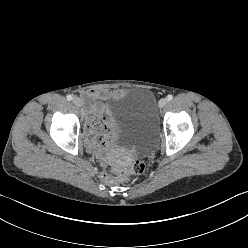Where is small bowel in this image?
I'll use <instances>...</instances> for the list:
<instances>
[{"label":"small bowel","mask_w":248,"mask_h":248,"mask_svg":"<svg viewBox=\"0 0 248 248\" xmlns=\"http://www.w3.org/2000/svg\"><path fill=\"white\" fill-rule=\"evenodd\" d=\"M121 91L117 92L119 94ZM114 93L104 90H91L84 94V103L87 109V134L89 144L93 149H100L106 146V135L112 130L113 120L109 109L99 103L98 100H104Z\"/></svg>","instance_id":"obj_1"}]
</instances>
